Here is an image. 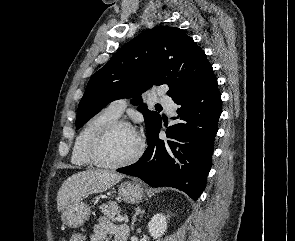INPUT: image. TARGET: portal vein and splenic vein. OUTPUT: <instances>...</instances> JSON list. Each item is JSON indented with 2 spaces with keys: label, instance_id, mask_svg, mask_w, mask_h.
Wrapping results in <instances>:
<instances>
[{
  "label": "portal vein and splenic vein",
  "instance_id": "obj_1",
  "mask_svg": "<svg viewBox=\"0 0 295 241\" xmlns=\"http://www.w3.org/2000/svg\"><path fill=\"white\" fill-rule=\"evenodd\" d=\"M117 221H119V222H122V221H124V218H123V216H121V215H118V216H117Z\"/></svg>",
  "mask_w": 295,
  "mask_h": 241
}]
</instances>
